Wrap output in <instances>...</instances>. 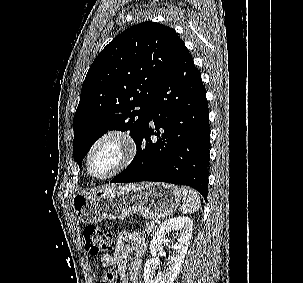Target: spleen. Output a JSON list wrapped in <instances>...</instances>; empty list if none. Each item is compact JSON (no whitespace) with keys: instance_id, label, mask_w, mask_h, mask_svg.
Returning <instances> with one entry per match:
<instances>
[{"instance_id":"3e777b00","label":"spleen","mask_w":303,"mask_h":283,"mask_svg":"<svg viewBox=\"0 0 303 283\" xmlns=\"http://www.w3.org/2000/svg\"><path fill=\"white\" fill-rule=\"evenodd\" d=\"M183 205L180 210L183 214H192L197 212L201 206V201L198 193L188 187H182Z\"/></svg>"}]
</instances>
